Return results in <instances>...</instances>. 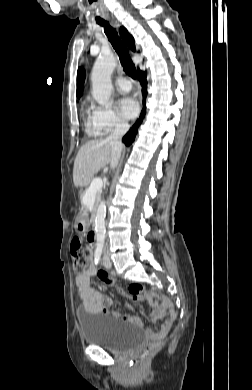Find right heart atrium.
Returning a JSON list of instances; mask_svg holds the SVG:
<instances>
[{"mask_svg":"<svg viewBox=\"0 0 252 390\" xmlns=\"http://www.w3.org/2000/svg\"><path fill=\"white\" fill-rule=\"evenodd\" d=\"M92 130L97 135H108L122 131L128 123L114 109L95 106L91 114Z\"/></svg>","mask_w":252,"mask_h":390,"instance_id":"obj_1","label":"right heart atrium"}]
</instances>
